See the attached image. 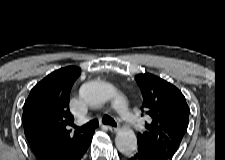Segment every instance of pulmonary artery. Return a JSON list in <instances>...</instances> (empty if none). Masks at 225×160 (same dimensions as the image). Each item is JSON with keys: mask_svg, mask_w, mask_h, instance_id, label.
Segmentation results:
<instances>
[{"mask_svg": "<svg viewBox=\"0 0 225 160\" xmlns=\"http://www.w3.org/2000/svg\"><path fill=\"white\" fill-rule=\"evenodd\" d=\"M120 113H121L122 118L124 120H126V122L130 126H132L135 130H137V131L142 130V123L137 117H135L134 115H132L131 113H129L125 110L120 111Z\"/></svg>", "mask_w": 225, "mask_h": 160, "instance_id": "obj_1", "label": "pulmonary artery"}]
</instances>
